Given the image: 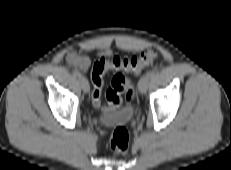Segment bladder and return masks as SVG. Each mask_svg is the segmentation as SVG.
<instances>
[{
	"label": "bladder",
	"instance_id": "bladder-1",
	"mask_svg": "<svg viewBox=\"0 0 231 170\" xmlns=\"http://www.w3.org/2000/svg\"><path fill=\"white\" fill-rule=\"evenodd\" d=\"M134 110L132 107H125L113 110L101 117V123L104 126L125 125L133 118Z\"/></svg>",
	"mask_w": 231,
	"mask_h": 170
}]
</instances>
